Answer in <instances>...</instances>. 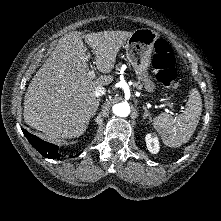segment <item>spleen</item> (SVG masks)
Wrapping results in <instances>:
<instances>
[{
  "instance_id": "spleen-1",
  "label": "spleen",
  "mask_w": 221,
  "mask_h": 221,
  "mask_svg": "<svg viewBox=\"0 0 221 221\" xmlns=\"http://www.w3.org/2000/svg\"><path fill=\"white\" fill-rule=\"evenodd\" d=\"M202 112V99L197 89H192L183 113L177 117L162 113L153 119V127L168 147H179L193 135Z\"/></svg>"
}]
</instances>
